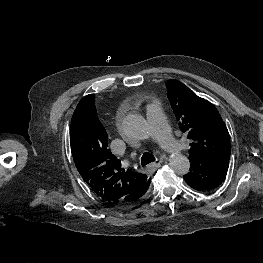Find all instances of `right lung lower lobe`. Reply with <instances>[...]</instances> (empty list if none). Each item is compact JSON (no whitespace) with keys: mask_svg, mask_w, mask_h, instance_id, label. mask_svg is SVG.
<instances>
[{"mask_svg":"<svg viewBox=\"0 0 263 263\" xmlns=\"http://www.w3.org/2000/svg\"><path fill=\"white\" fill-rule=\"evenodd\" d=\"M149 185H150V184H149ZM149 185H147V186L142 190L141 196L139 197V199H138L136 202H134L133 205L128 206V207H120V208H121V209H126V208H130V207L134 206L135 204H137V202L140 200V198H141V197L146 193V191L148 190Z\"/></svg>","mask_w":263,"mask_h":263,"instance_id":"obj_1","label":"right lung lower lobe"}]
</instances>
